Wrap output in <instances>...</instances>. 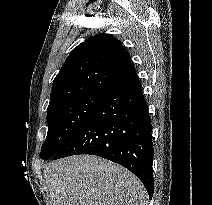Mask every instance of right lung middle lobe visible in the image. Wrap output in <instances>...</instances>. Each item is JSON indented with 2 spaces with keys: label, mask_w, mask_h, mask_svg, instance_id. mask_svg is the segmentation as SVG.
Listing matches in <instances>:
<instances>
[{
  "label": "right lung middle lobe",
  "mask_w": 212,
  "mask_h": 205,
  "mask_svg": "<svg viewBox=\"0 0 212 205\" xmlns=\"http://www.w3.org/2000/svg\"><path fill=\"white\" fill-rule=\"evenodd\" d=\"M102 93L79 96L48 110V133L41 158L54 156L82 126L101 100Z\"/></svg>",
  "instance_id": "1"
}]
</instances>
